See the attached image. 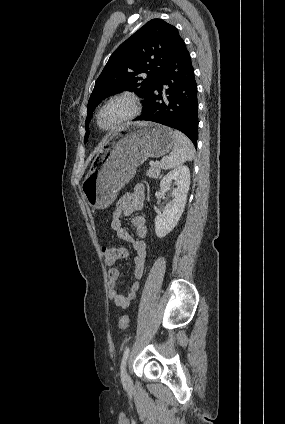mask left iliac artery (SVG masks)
<instances>
[{"mask_svg": "<svg viewBox=\"0 0 285 424\" xmlns=\"http://www.w3.org/2000/svg\"><path fill=\"white\" fill-rule=\"evenodd\" d=\"M129 352H130V348L127 347L124 351L123 357H122V362H121V378L124 380L125 379V366H126V361L127 358L129 356Z\"/></svg>", "mask_w": 285, "mask_h": 424, "instance_id": "1", "label": "left iliac artery"}]
</instances>
